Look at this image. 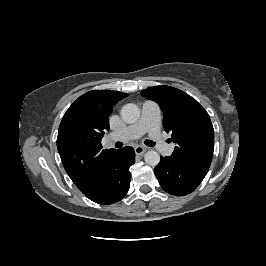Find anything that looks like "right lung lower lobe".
Listing matches in <instances>:
<instances>
[{"instance_id": "98d812e1", "label": "right lung lower lobe", "mask_w": 266, "mask_h": 266, "mask_svg": "<svg viewBox=\"0 0 266 266\" xmlns=\"http://www.w3.org/2000/svg\"><path fill=\"white\" fill-rule=\"evenodd\" d=\"M135 162L132 147L117 149L109 158L95 187L86 197L98 204H112L121 200L129 190L131 173L129 167Z\"/></svg>"}]
</instances>
